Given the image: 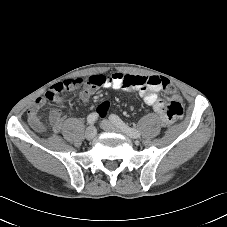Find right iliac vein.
<instances>
[{
	"instance_id": "right-iliac-vein-1",
	"label": "right iliac vein",
	"mask_w": 227,
	"mask_h": 227,
	"mask_svg": "<svg viewBox=\"0 0 227 227\" xmlns=\"http://www.w3.org/2000/svg\"><path fill=\"white\" fill-rule=\"evenodd\" d=\"M97 134L96 128L93 126H90L86 129L85 137L87 140H92Z\"/></svg>"
}]
</instances>
